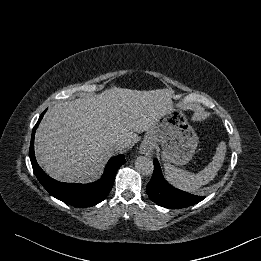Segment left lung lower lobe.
Listing matches in <instances>:
<instances>
[{"label":"left lung lower lobe","instance_id":"1","mask_svg":"<svg viewBox=\"0 0 261 261\" xmlns=\"http://www.w3.org/2000/svg\"><path fill=\"white\" fill-rule=\"evenodd\" d=\"M153 163L154 172L146 188L153 202L165 208L179 209L194 205L204 199L203 196L193 195L170 186L163 178L157 159Z\"/></svg>","mask_w":261,"mask_h":261}]
</instances>
